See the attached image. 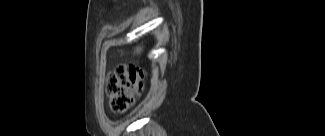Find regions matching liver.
Wrapping results in <instances>:
<instances>
[{
  "mask_svg": "<svg viewBox=\"0 0 325 136\" xmlns=\"http://www.w3.org/2000/svg\"><path fill=\"white\" fill-rule=\"evenodd\" d=\"M141 50H142V48H141V47H137V49H136V52H137V53H140V52H141Z\"/></svg>",
  "mask_w": 325,
  "mask_h": 136,
  "instance_id": "6515ba94",
  "label": "liver"
}]
</instances>
